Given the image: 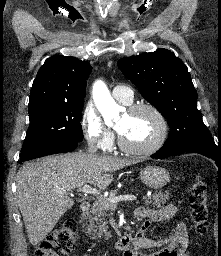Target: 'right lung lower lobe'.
I'll use <instances>...</instances> for the list:
<instances>
[{
    "label": "right lung lower lobe",
    "mask_w": 221,
    "mask_h": 256,
    "mask_svg": "<svg viewBox=\"0 0 221 256\" xmlns=\"http://www.w3.org/2000/svg\"><path fill=\"white\" fill-rule=\"evenodd\" d=\"M78 143V141H59L46 144L36 149L35 151L21 157V161L19 163L51 154L71 152L76 149Z\"/></svg>",
    "instance_id": "1"
}]
</instances>
